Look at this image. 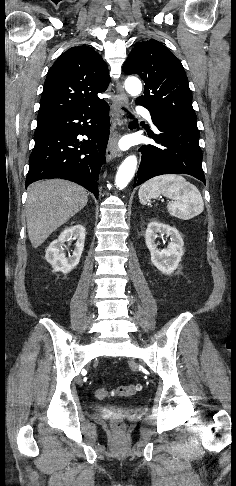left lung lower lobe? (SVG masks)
Returning a JSON list of instances; mask_svg holds the SVG:
<instances>
[{
	"instance_id": "left-lung-lower-lobe-1",
	"label": "left lung lower lobe",
	"mask_w": 236,
	"mask_h": 486,
	"mask_svg": "<svg viewBox=\"0 0 236 486\" xmlns=\"http://www.w3.org/2000/svg\"><path fill=\"white\" fill-rule=\"evenodd\" d=\"M151 117L161 133L151 136L157 142L156 145H144L141 148V163L134 187L158 175L178 173L194 176L205 184L199 131L167 122L153 114ZM130 127L136 128L138 124L131 123Z\"/></svg>"
}]
</instances>
